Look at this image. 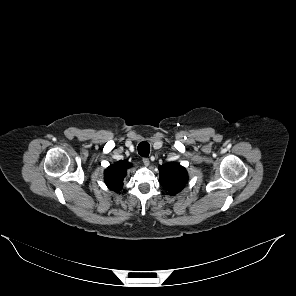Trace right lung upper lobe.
Here are the masks:
<instances>
[{"label":"right lung upper lobe","instance_id":"cb5924a9","mask_svg":"<svg viewBox=\"0 0 296 296\" xmlns=\"http://www.w3.org/2000/svg\"><path fill=\"white\" fill-rule=\"evenodd\" d=\"M130 163L126 160L111 164L104 171V180L109 189L119 192L123 186V179L126 176V170Z\"/></svg>","mask_w":296,"mask_h":296}]
</instances>
